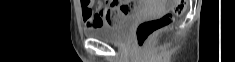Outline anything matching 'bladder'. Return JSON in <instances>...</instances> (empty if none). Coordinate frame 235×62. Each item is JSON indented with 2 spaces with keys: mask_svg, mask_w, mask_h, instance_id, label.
<instances>
[{
  "mask_svg": "<svg viewBox=\"0 0 235 62\" xmlns=\"http://www.w3.org/2000/svg\"><path fill=\"white\" fill-rule=\"evenodd\" d=\"M135 13L121 14L115 24L89 29L87 35L106 43H121L135 20Z\"/></svg>",
  "mask_w": 235,
  "mask_h": 62,
  "instance_id": "1",
  "label": "bladder"
}]
</instances>
